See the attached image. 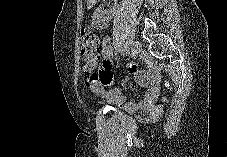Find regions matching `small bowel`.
<instances>
[{"label":"small bowel","mask_w":227,"mask_h":157,"mask_svg":"<svg viewBox=\"0 0 227 157\" xmlns=\"http://www.w3.org/2000/svg\"><path fill=\"white\" fill-rule=\"evenodd\" d=\"M101 55L103 58L101 66L95 73V77L88 82V87L93 94L105 97L110 103L116 104L129 112L153 106L159 90V75L157 69L153 68L149 73H145L140 71L134 62L127 64V70L134 79L139 84L148 87V92L141 101L132 102L128 101L126 97L122 95L121 88L117 86L111 87L106 91V87L110 86L112 83L110 69L112 66L113 48L109 39L104 40Z\"/></svg>","instance_id":"1"}]
</instances>
